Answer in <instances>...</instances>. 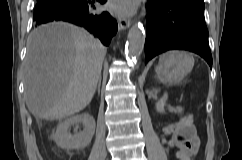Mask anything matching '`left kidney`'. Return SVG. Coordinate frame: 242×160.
I'll list each match as a JSON object with an SVG mask.
<instances>
[{"instance_id": "obj_1", "label": "left kidney", "mask_w": 242, "mask_h": 160, "mask_svg": "<svg viewBox=\"0 0 242 160\" xmlns=\"http://www.w3.org/2000/svg\"><path fill=\"white\" fill-rule=\"evenodd\" d=\"M156 110L160 113H163L164 112V104L163 103H157L156 104Z\"/></svg>"}]
</instances>
